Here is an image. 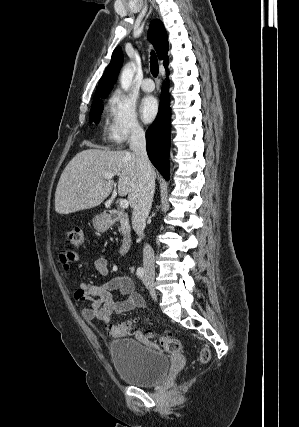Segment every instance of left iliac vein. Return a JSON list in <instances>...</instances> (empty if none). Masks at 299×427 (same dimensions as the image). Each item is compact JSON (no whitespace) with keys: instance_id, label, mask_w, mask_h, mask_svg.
<instances>
[{"instance_id":"4c4485c4","label":"left iliac vein","mask_w":299,"mask_h":427,"mask_svg":"<svg viewBox=\"0 0 299 427\" xmlns=\"http://www.w3.org/2000/svg\"><path fill=\"white\" fill-rule=\"evenodd\" d=\"M143 281H144V284L146 285V279H144ZM146 287H147V286H146Z\"/></svg>"}]
</instances>
